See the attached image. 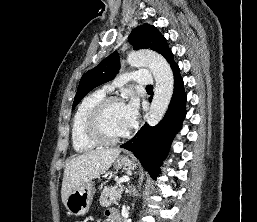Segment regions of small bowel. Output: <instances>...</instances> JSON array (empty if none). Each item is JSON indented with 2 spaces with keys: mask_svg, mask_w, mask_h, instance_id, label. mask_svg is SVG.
I'll use <instances>...</instances> for the list:
<instances>
[{
  "mask_svg": "<svg viewBox=\"0 0 257 222\" xmlns=\"http://www.w3.org/2000/svg\"><path fill=\"white\" fill-rule=\"evenodd\" d=\"M107 222H117V214L114 210L106 212Z\"/></svg>",
  "mask_w": 257,
  "mask_h": 222,
  "instance_id": "small-bowel-1",
  "label": "small bowel"
}]
</instances>
